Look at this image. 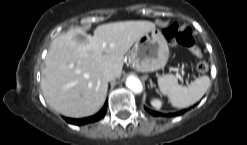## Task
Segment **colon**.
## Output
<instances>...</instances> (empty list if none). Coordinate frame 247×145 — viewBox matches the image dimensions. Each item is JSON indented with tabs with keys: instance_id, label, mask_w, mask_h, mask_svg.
Listing matches in <instances>:
<instances>
[{
	"instance_id": "1",
	"label": "colon",
	"mask_w": 247,
	"mask_h": 145,
	"mask_svg": "<svg viewBox=\"0 0 247 145\" xmlns=\"http://www.w3.org/2000/svg\"><path fill=\"white\" fill-rule=\"evenodd\" d=\"M163 35L170 43H176L188 48L192 54L198 58L202 56V52L197 45L190 28L180 30L177 23H173L163 31ZM197 70L200 73H206L209 70V65L205 61L197 64Z\"/></svg>"
}]
</instances>
